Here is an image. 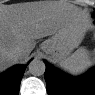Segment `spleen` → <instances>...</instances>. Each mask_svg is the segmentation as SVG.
Instances as JSON below:
<instances>
[{"label": "spleen", "instance_id": "1", "mask_svg": "<svg viewBox=\"0 0 95 95\" xmlns=\"http://www.w3.org/2000/svg\"><path fill=\"white\" fill-rule=\"evenodd\" d=\"M93 65L89 51L81 47L60 62V66L71 75H79Z\"/></svg>", "mask_w": 95, "mask_h": 95}]
</instances>
